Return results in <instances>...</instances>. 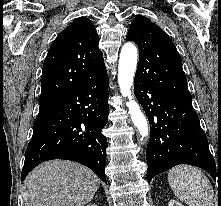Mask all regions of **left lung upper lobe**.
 <instances>
[{"instance_id":"obj_1","label":"left lung upper lobe","mask_w":221,"mask_h":206,"mask_svg":"<svg viewBox=\"0 0 221 206\" xmlns=\"http://www.w3.org/2000/svg\"><path fill=\"white\" fill-rule=\"evenodd\" d=\"M126 40L139 48L135 82L168 97L191 101L181 57L171 39L160 27L144 16L136 17Z\"/></svg>"}]
</instances>
